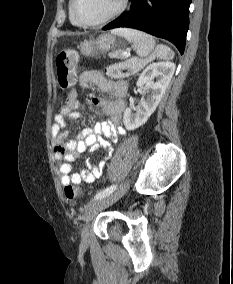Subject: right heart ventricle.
Wrapping results in <instances>:
<instances>
[{"mask_svg":"<svg viewBox=\"0 0 233 284\" xmlns=\"http://www.w3.org/2000/svg\"><path fill=\"white\" fill-rule=\"evenodd\" d=\"M71 3H72V1L70 0V2H69V17H70V21H71V23L73 25H78L77 22L74 20L72 14H71Z\"/></svg>","mask_w":233,"mask_h":284,"instance_id":"obj_1","label":"right heart ventricle"}]
</instances>
